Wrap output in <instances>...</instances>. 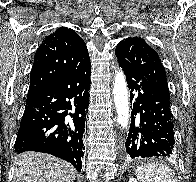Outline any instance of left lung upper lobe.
<instances>
[{
  "label": "left lung upper lobe",
  "instance_id": "1",
  "mask_svg": "<svg viewBox=\"0 0 196 182\" xmlns=\"http://www.w3.org/2000/svg\"><path fill=\"white\" fill-rule=\"evenodd\" d=\"M118 59H123L135 70L156 82L168 95V83L165 69L154 51L144 39L140 37L122 40L115 50Z\"/></svg>",
  "mask_w": 196,
  "mask_h": 182
}]
</instances>
